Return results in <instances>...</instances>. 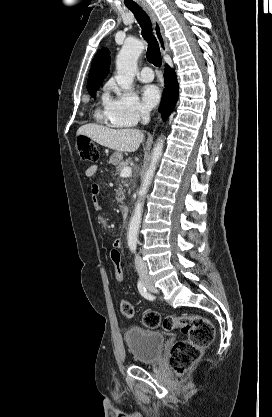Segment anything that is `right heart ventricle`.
<instances>
[{
    "mask_svg": "<svg viewBox=\"0 0 272 417\" xmlns=\"http://www.w3.org/2000/svg\"><path fill=\"white\" fill-rule=\"evenodd\" d=\"M106 97H104V103H105V101H106ZM97 118L100 120V121H103V122H105V123H107V124H110L111 126H114V127H121V125H119V124H117V123H115L111 118H110V116L108 115V113H107V111H106V109H105V111H103V112H101V111H98L97 112Z\"/></svg>",
    "mask_w": 272,
    "mask_h": 417,
    "instance_id": "e07e8e85",
    "label": "right heart ventricle"
}]
</instances>
